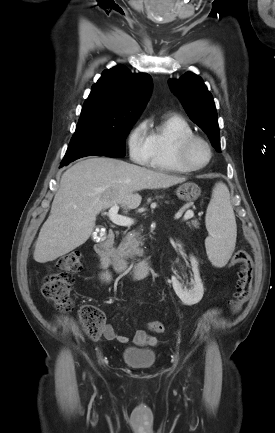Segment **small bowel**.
Returning a JSON list of instances; mask_svg holds the SVG:
<instances>
[{
  "label": "small bowel",
  "instance_id": "c3829d8e",
  "mask_svg": "<svg viewBox=\"0 0 275 433\" xmlns=\"http://www.w3.org/2000/svg\"><path fill=\"white\" fill-rule=\"evenodd\" d=\"M100 265L105 268L109 265L108 261L99 255ZM104 337L107 340H117L120 343H127L130 338L127 335H121L116 332L115 328L111 324H106L103 328ZM133 342L139 346H156L158 340L149 335L143 330H139L135 333L133 337Z\"/></svg>",
  "mask_w": 275,
  "mask_h": 433
}]
</instances>
